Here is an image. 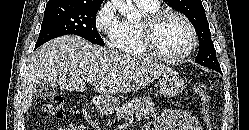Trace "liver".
<instances>
[{"mask_svg": "<svg viewBox=\"0 0 249 130\" xmlns=\"http://www.w3.org/2000/svg\"><path fill=\"white\" fill-rule=\"evenodd\" d=\"M172 71L151 59L119 54L79 36L58 37L42 45L30 58L22 89V111L32 106L40 81L84 92L85 81L96 79L95 92L108 95L139 90Z\"/></svg>", "mask_w": 249, "mask_h": 130, "instance_id": "liver-1", "label": "liver"}]
</instances>
